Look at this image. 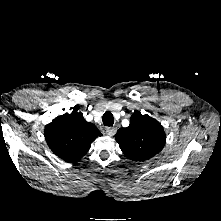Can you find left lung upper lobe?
<instances>
[{
  "label": "left lung upper lobe",
  "mask_w": 221,
  "mask_h": 221,
  "mask_svg": "<svg viewBox=\"0 0 221 221\" xmlns=\"http://www.w3.org/2000/svg\"><path fill=\"white\" fill-rule=\"evenodd\" d=\"M115 139L129 159L144 161L162 150L166 142V135L157 120L136 111L131 116L129 126L120 128Z\"/></svg>",
  "instance_id": "1"
}]
</instances>
